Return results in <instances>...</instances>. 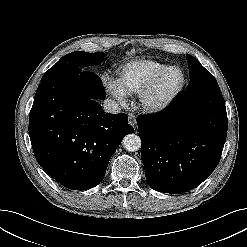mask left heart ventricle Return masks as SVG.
<instances>
[{"mask_svg": "<svg viewBox=\"0 0 247 247\" xmlns=\"http://www.w3.org/2000/svg\"><path fill=\"white\" fill-rule=\"evenodd\" d=\"M180 81V74L177 72H172L168 74L164 80V84L167 87H174L176 86Z\"/></svg>", "mask_w": 247, "mask_h": 247, "instance_id": "left-heart-ventricle-1", "label": "left heart ventricle"}]
</instances>
